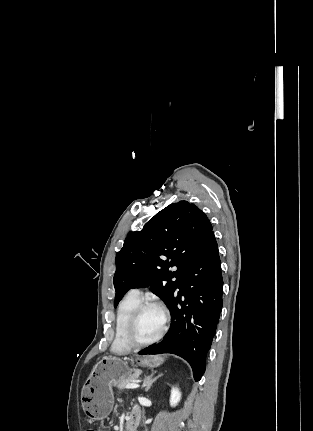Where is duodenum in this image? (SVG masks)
<instances>
[{"mask_svg": "<svg viewBox=\"0 0 313 431\" xmlns=\"http://www.w3.org/2000/svg\"><path fill=\"white\" fill-rule=\"evenodd\" d=\"M139 421V414L132 413L126 422V431H133Z\"/></svg>", "mask_w": 313, "mask_h": 431, "instance_id": "1", "label": "duodenum"}]
</instances>
